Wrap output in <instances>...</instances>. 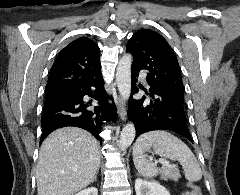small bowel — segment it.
Returning <instances> with one entry per match:
<instances>
[{
	"label": "small bowel",
	"mask_w": 240,
	"mask_h": 195,
	"mask_svg": "<svg viewBox=\"0 0 240 195\" xmlns=\"http://www.w3.org/2000/svg\"><path fill=\"white\" fill-rule=\"evenodd\" d=\"M181 195H185V191L181 193ZM200 195H202V193H200Z\"/></svg>",
	"instance_id": "small-bowel-1"
}]
</instances>
